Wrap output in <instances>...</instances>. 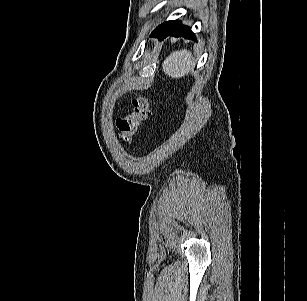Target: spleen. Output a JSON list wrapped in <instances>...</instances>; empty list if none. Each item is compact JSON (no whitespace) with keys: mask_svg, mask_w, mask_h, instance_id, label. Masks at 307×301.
Here are the masks:
<instances>
[{"mask_svg":"<svg viewBox=\"0 0 307 301\" xmlns=\"http://www.w3.org/2000/svg\"><path fill=\"white\" fill-rule=\"evenodd\" d=\"M192 53L187 49L173 51L163 62V72L171 78H181L193 69Z\"/></svg>","mask_w":307,"mask_h":301,"instance_id":"spleen-1","label":"spleen"}]
</instances>
